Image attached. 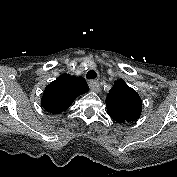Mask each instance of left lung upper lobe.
I'll use <instances>...</instances> for the list:
<instances>
[{
    "mask_svg": "<svg viewBox=\"0 0 177 177\" xmlns=\"http://www.w3.org/2000/svg\"><path fill=\"white\" fill-rule=\"evenodd\" d=\"M109 116L118 123H132L141 115L142 101L138 93L120 79L106 101Z\"/></svg>",
    "mask_w": 177,
    "mask_h": 177,
    "instance_id": "5c2ea615",
    "label": "left lung upper lobe"
}]
</instances>
